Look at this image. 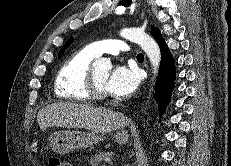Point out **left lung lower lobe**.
Segmentation results:
<instances>
[{"instance_id": "1", "label": "left lung lower lobe", "mask_w": 231, "mask_h": 166, "mask_svg": "<svg viewBox=\"0 0 231 166\" xmlns=\"http://www.w3.org/2000/svg\"><path fill=\"white\" fill-rule=\"evenodd\" d=\"M155 40L161 49V64L155 86L156 100L159 104V113L163 114L166 109V104L171 98L176 72L173 56L162 38L161 33L155 37Z\"/></svg>"}]
</instances>
